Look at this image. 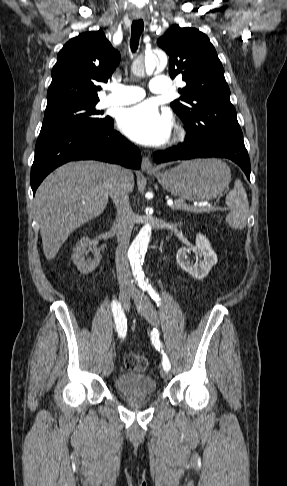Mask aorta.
I'll return each mask as SVG.
<instances>
[{
    "label": "aorta",
    "instance_id": "obj_1",
    "mask_svg": "<svg viewBox=\"0 0 287 486\" xmlns=\"http://www.w3.org/2000/svg\"><path fill=\"white\" fill-rule=\"evenodd\" d=\"M166 63V57L158 58L156 55L152 54L146 58L145 69L147 72H152L156 67H164ZM151 234V226L149 224L144 225L129 247L128 258L133 267V270L137 274H141L140 266L147 251V247L151 239ZM141 282L144 285L148 284V281L144 279H141Z\"/></svg>",
    "mask_w": 287,
    "mask_h": 486
}]
</instances>
